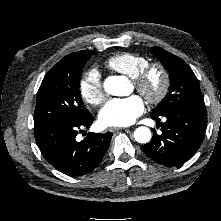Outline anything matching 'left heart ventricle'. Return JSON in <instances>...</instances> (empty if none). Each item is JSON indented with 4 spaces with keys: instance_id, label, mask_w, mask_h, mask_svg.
Instances as JSON below:
<instances>
[{
    "instance_id": "b2bd125f",
    "label": "left heart ventricle",
    "mask_w": 221,
    "mask_h": 221,
    "mask_svg": "<svg viewBox=\"0 0 221 221\" xmlns=\"http://www.w3.org/2000/svg\"><path fill=\"white\" fill-rule=\"evenodd\" d=\"M160 76L158 73H153L148 82V90L150 92H156L160 87Z\"/></svg>"
}]
</instances>
